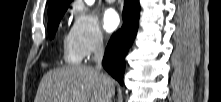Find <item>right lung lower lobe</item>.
Wrapping results in <instances>:
<instances>
[{
  "label": "right lung lower lobe",
  "instance_id": "obj_1",
  "mask_svg": "<svg viewBox=\"0 0 221 102\" xmlns=\"http://www.w3.org/2000/svg\"><path fill=\"white\" fill-rule=\"evenodd\" d=\"M140 4L138 0H125L123 26L114 33L106 47L103 66L121 85L125 71V56L138 30Z\"/></svg>",
  "mask_w": 221,
  "mask_h": 102
}]
</instances>
